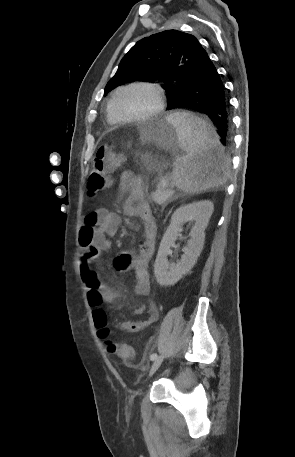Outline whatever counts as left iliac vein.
Here are the masks:
<instances>
[{
    "label": "left iliac vein",
    "instance_id": "4c4485c4",
    "mask_svg": "<svg viewBox=\"0 0 295 457\" xmlns=\"http://www.w3.org/2000/svg\"><path fill=\"white\" fill-rule=\"evenodd\" d=\"M163 359H164L163 355H160L154 360V362L151 366L150 372H149L150 376H152L156 372V370L160 367L161 363L163 362Z\"/></svg>",
    "mask_w": 295,
    "mask_h": 457
}]
</instances>
